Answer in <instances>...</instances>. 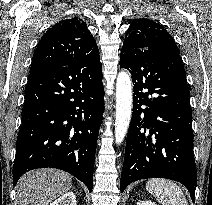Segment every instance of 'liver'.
I'll use <instances>...</instances> for the list:
<instances>
[{"instance_id":"6515ba94","label":"liver","mask_w":212,"mask_h":205,"mask_svg":"<svg viewBox=\"0 0 212 205\" xmlns=\"http://www.w3.org/2000/svg\"><path fill=\"white\" fill-rule=\"evenodd\" d=\"M72 187L70 174L55 169L26 173L16 185L18 205H48Z\"/></svg>"}]
</instances>
